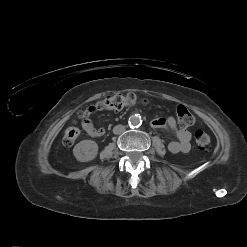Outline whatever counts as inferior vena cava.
Listing matches in <instances>:
<instances>
[{
	"label": "inferior vena cava",
	"instance_id": "602c4592",
	"mask_svg": "<svg viewBox=\"0 0 247 247\" xmlns=\"http://www.w3.org/2000/svg\"><path fill=\"white\" fill-rule=\"evenodd\" d=\"M125 131V126L123 125H116L113 128V133L116 135L122 134Z\"/></svg>",
	"mask_w": 247,
	"mask_h": 247
}]
</instances>
